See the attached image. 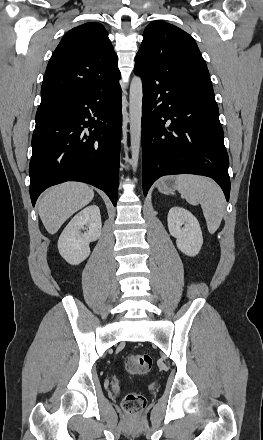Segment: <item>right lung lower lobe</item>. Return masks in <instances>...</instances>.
I'll use <instances>...</instances> for the list:
<instances>
[{
  "instance_id": "obj_1",
  "label": "right lung lower lobe",
  "mask_w": 263,
  "mask_h": 440,
  "mask_svg": "<svg viewBox=\"0 0 263 440\" xmlns=\"http://www.w3.org/2000/svg\"><path fill=\"white\" fill-rule=\"evenodd\" d=\"M119 78L68 96L36 117L29 165L32 205L48 187L80 181L116 206L121 141Z\"/></svg>"
}]
</instances>
